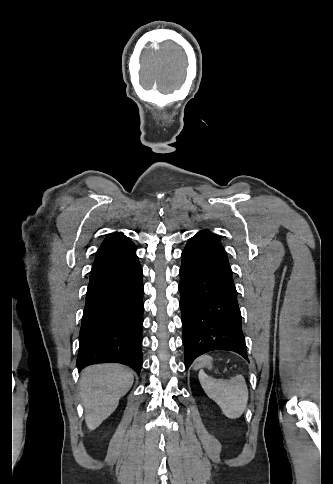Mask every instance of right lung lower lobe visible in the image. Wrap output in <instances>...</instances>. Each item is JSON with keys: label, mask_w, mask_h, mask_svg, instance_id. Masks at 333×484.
I'll use <instances>...</instances> for the list:
<instances>
[{"label": "right lung lower lobe", "mask_w": 333, "mask_h": 484, "mask_svg": "<svg viewBox=\"0 0 333 484\" xmlns=\"http://www.w3.org/2000/svg\"><path fill=\"white\" fill-rule=\"evenodd\" d=\"M135 245L97 253L86 294L77 367L142 366L143 283Z\"/></svg>", "instance_id": "1"}]
</instances>
